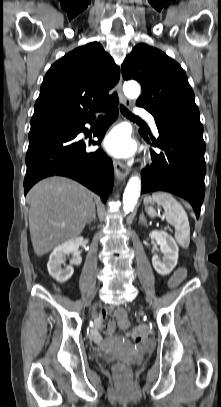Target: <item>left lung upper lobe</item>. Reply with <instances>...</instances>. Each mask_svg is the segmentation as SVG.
Segmentation results:
<instances>
[{"label":"left lung upper lobe","mask_w":221,"mask_h":407,"mask_svg":"<svg viewBox=\"0 0 221 407\" xmlns=\"http://www.w3.org/2000/svg\"><path fill=\"white\" fill-rule=\"evenodd\" d=\"M122 75L125 80L141 83L142 95L137 106L145 108L155 119L177 113L199 115L184 70L162 51L138 44L122 64Z\"/></svg>","instance_id":"5c2ea615"}]
</instances>
